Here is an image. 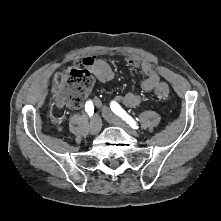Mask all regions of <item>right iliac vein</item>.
Segmentation results:
<instances>
[{
    "label": "right iliac vein",
    "instance_id": "63e3f726",
    "mask_svg": "<svg viewBox=\"0 0 221 221\" xmlns=\"http://www.w3.org/2000/svg\"><path fill=\"white\" fill-rule=\"evenodd\" d=\"M102 128V121L98 115H95L91 121V134H97Z\"/></svg>",
    "mask_w": 221,
    "mask_h": 221
}]
</instances>
